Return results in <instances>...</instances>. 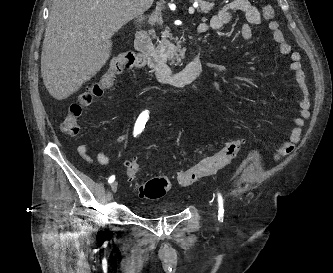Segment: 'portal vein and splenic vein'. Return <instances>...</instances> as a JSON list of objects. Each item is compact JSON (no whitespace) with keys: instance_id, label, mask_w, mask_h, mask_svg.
Returning a JSON list of instances; mask_svg holds the SVG:
<instances>
[{"instance_id":"18ae733b","label":"portal vein and splenic vein","mask_w":333,"mask_h":273,"mask_svg":"<svg viewBox=\"0 0 333 273\" xmlns=\"http://www.w3.org/2000/svg\"><path fill=\"white\" fill-rule=\"evenodd\" d=\"M198 5L197 4H194L193 7H190L189 8V14H193L194 13V8H196Z\"/></svg>"}]
</instances>
